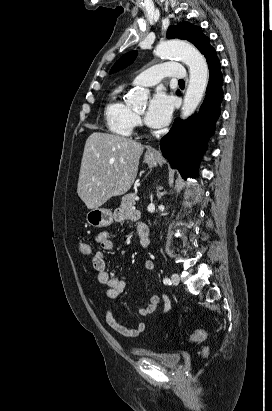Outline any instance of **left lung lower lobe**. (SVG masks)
Instances as JSON below:
<instances>
[{
	"label": "left lung lower lobe",
	"mask_w": 272,
	"mask_h": 411,
	"mask_svg": "<svg viewBox=\"0 0 272 411\" xmlns=\"http://www.w3.org/2000/svg\"><path fill=\"white\" fill-rule=\"evenodd\" d=\"M209 67V82L204 102L195 121L176 119L171 130L160 141L163 156L184 179L196 174L199 159L209 137L214 133L223 99L220 62L213 48L205 56Z\"/></svg>",
	"instance_id": "0a47b994"
}]
</instances>
